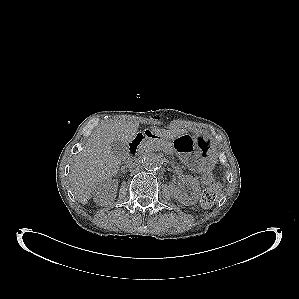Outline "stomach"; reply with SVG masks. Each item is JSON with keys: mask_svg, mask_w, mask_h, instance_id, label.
Segmentation results:
<instances>
[{"mask_svg": "<svg viewBox=\"0 0 299 299\" xmlns=\"http://www.w3.org/2000/svg\"><path fill=\"white\" fill-rule=\"evenodd\" d=\"M174 151L184 164L197 171L213 167L220 158L219 145L206 137L179 136L174 142Z\"/></svg>", "mask_w": 299, "mask_h": 299, "instance_id": "0dacf381", "label": "stomach"}]
</instances>
